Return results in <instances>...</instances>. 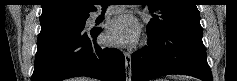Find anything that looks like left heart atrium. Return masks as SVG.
Segmentation results:
<instances>
[{
  "instance_id": "1",
  "label": "left heart atrium",
  "mask_w": 237,
  "mask_h": 81,
  "mask_svg": "<svg viewBox=\"0 0 237 81\" xmlns=\"http://www.w3.org/2000/svg\"><path fill=\"white\" fill-rule=\"evenodd\" d=\"M106 40L114 45H130L139 37V25L130 15H120L107 24Z\"/></svg>"
}]
</instances>
